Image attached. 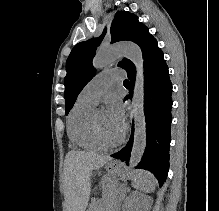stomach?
Returning a JSON list of instances; mask_svg holds the SVG:
<instances>
[{"label": "stomach", "mask_w": 219, "mask_h": 211, "mask_svg": "<svg viewBox=\"0 0 219 211\" xmlns=\"http://www.w3.org/2000/svg\"><path fill=\"white\" fill-rule=\"evenodd\" d=\"M105 167L110 174H117L123 169V165L118 161H109Z\"/></svg>", "instance_id": "1"}]
</instances>
